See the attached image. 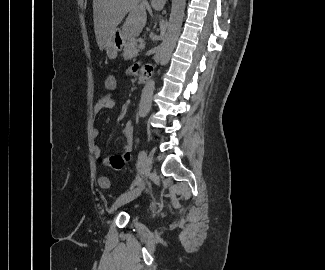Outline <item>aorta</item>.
<instances>
[{
	"label": "aorta",
	"instance_id": "1",
	"mask_svg": "<svg viewBox=\"0 0 325 270\" xmlns=\"http://www.w3.org/2000/svg\"><path fill=\"white\" fill-rule=\"evenodd\" d=\"M186 0H172L171 13L169 17L167 32L160 46V63L166 64L176 45L180 35L182 21L184 17ZM155 89L154 80H149L143 88L139 104V115L144 117L151 108L153 91Z\"/></svg>",
	"mask_w": 325,
	"mask_h": 270
}]
</instances>
